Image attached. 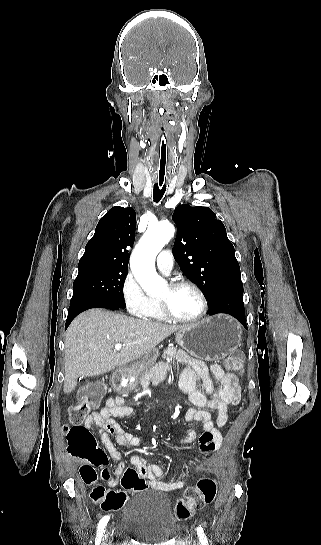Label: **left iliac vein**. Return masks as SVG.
<instances>
[{"label": "left iliac vein", "instance_id": "left-iliac-vein-1", "mask_svg": "<svg viewBox=\"0 0 321 545\" xmlns=\"http://www.w3.org/2000/svg\"><path fill=\"white\" fill-rule=\"evenodd\" d=\"M195 545H199L198 542H195Z\"/></svg>", "mask_w": 321, "mask_h": 545}]
</instances>
